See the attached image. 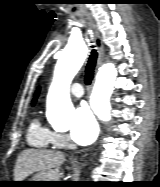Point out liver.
Instances as JSON below:
<instances>
[{
	"label": "liver",
	"instance_id": "liver-1",
	"mask_svg": "<svg viewBox=\"0 0 160 187\" xmlns=\"http://www.w3.org/2000/svg\"><path fill=\"white\" fill-rule=\"evenodd\" d=\"M65 162L61 152L27 149L18 156L15 169V181H23L34 172H46L58 168Z\"/></svg>",
	"mask_w": 160,
	"mask_h": 187
}]
</instances>
